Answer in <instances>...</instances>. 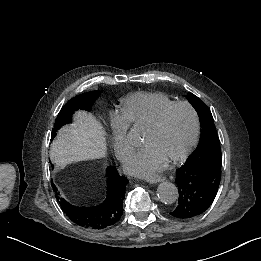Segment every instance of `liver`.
<instances>
[{"label":"liver","mask_w":261,"mask_h":261,"mask_svg":"<svg viewBox=\"0 0 261 261\" xmlns=\"http://www.w3.org/2000/svg\"><path fill=\"white\" fill-rule=\"evenodd\" d=\"M76 120L77 124L74 127H64L53 143L51 152L54 154V159L73 156L89 159L103 157L105 144L101 136V126L96 118L85 113H78Z\"/></svg>","instance_id":"6515ba94"}]
</instances>
